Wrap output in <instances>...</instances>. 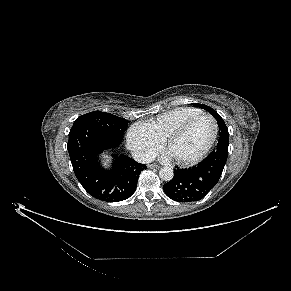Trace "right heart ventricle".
<instances>
[{"mask_svg":"<svg viewBox=\"0 0 291 291\" xmlns=\"http://www.w3.org/2000/svg\"><path fill=\"white\" fill-rule=\"evenodd\" d=\"M201 113L203 112L197 108L179 107L160 114L143 126L162 142L186 120Z\"/></svg>","mask_w":291,"mask_h":291,"instance_id":"right-heart-ventricle-1","label":"right heart ventricle"}]
</instances>
